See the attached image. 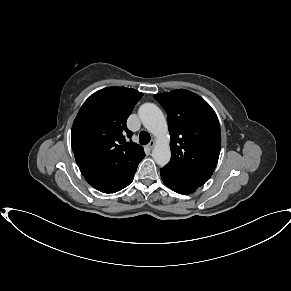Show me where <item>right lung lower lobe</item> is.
<instances>
[{
    "instance_id": "1",
    "label": "right lung lower lobe",
    "mask_w": 291,
    "mask_h": 291,
    "mask_svg": "<svg viewBox=\"0 0 291 291\" xmlns=\"http://www.w3.org/2000/svg\"><path fill=\"white\" fill-rule=\"evenodd\" d=\"M143 157L121 173L112 175L86 176L85 179L92 187L103 193H115L131 183L137 166Z\"/></svg>"
}]
</instances>
